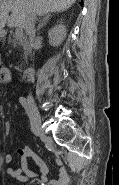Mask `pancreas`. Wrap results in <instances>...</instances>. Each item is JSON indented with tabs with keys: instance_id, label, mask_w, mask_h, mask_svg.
<instances>
[{
	"instance_id": "1",
	"label": "pancreas",
	"mask_w": 119,
	"mask_h": 185,
	"mask_svg": "<svg viewBox=\"0 0 119 185\" xmlns=\"http://www.w3.org/2000/svg\"><path fill=\"white\" fill-rule=\"evenodd\" d=\"M9 44H11L13 47L22 46L24 50V57L27 59L28 51H29V45L26 40V37L22 34L16 35L14 34L12 37H9L8 40Z\"/></svg>"
}]
</instances>
